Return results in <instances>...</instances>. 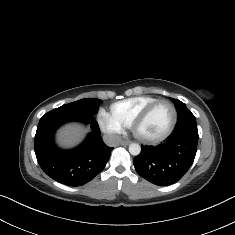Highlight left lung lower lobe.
<instances>
[{"mask_svg":"<svg viewBox=\"0 0 235 235\" xmlns=\"http://www.w3.org/2000/svg\"><path fill=\"white\" fill-rule=\"evenodd\" d=\"M197 143L198 132H174L156 147L142 146L141 153L133 160L135 170L153 184H173L193 164Z\"/></svg>","mask_w":235,"mask_h":235,"instance_id":"1","label":"left lung lower lobe"}]
</instances>
